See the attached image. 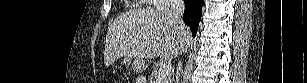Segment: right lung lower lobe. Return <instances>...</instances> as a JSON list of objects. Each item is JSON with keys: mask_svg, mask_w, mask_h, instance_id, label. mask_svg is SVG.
I'll return each instance as SVG.
<instances>
[{"mask_svg": "<svg viewBox=\"0 0 307 83\" xmlns=\"http://www.w3.org/2000/svg\"><path fill=\"white\" fill-rule=\"evenodd\" d=\"M203 2V0H184L185 11L183 14V19L190 27L194 37L201 18V8L203 6Z\"/></svg>", "mask_w": 307, "mask_h": 83, "instance_id": "right-lung-lower-lobe-1", "label": "right lung lower lobe"}]
</instances>
